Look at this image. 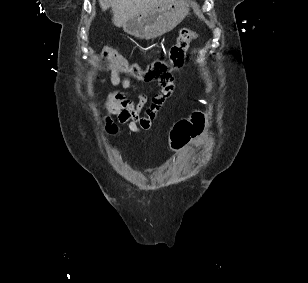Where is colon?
<instances>
[{
  "label": "colon",
  "instance_id": "5ec220e1",
  "mask_svg": "<svg viewBox=\"0 0 308 283\" xmlns=\"http://www.w3.org/2000/svg\"><path fill=\"white\" fill-rule=\"evenodd\" d=\"M196 37L197 32L195 30L181 28L167 55L153 61L146 67L130 62L110 47L101 48L100 56L126 74L150 81L157 80L163 86H173L174 81L171 72L183 65L189 44ZM206 119L207 112L204 109H197L192 112L189 118L176 122L170 132L171 149L179 152L197 138L204 129Z\"/></svg>",
  "mask_w": 308,
  "mask_h": 283
}]
</instances>
